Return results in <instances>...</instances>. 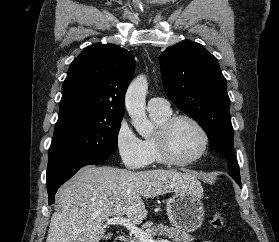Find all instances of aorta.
Returning <instances> with one entry per match:
<instances>
[{"mask_svg":"<svg viewBox=\"0 0 279 242\" xmlns=\"http://www.w3.org/2000/svg\"><path fill=\"white\" fill-rule=\"evenodd\" d=\"M147 89V79L140 75L132 81L125 96V107L131 118V123L142 137H148L154 129L153 123L145 113Z\"/></svg>","mask_w":279,"mask_h":242,"instance_id":"aorta-1","label":"aorta"}]
</instances>
